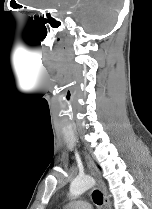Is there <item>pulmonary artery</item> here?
Listing matches in <instances>:
<instances>
[{
    "instance_id": "obj_1",
    "label": "pulmonary artery",
    "mask_w": 152,
    "mask_h": 209,
    "mask_svg": "<svg viewBox=\"0 0 152 209\" xmlns=\"http://www.w3.org/2000/svg\"><path fill=\"white\" fill-rule=\"evenodd\" d=\"M65 208L67 209H91V205L87 201L78 200V201L69 203Z\"/></svg>"
}]
</instances>
